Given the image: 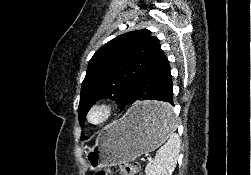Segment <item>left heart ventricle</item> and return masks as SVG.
<instances>
[{"label": "left heart ventricle", "instance_id": "left-heart-ventricle-1", "mask_svg": "<svg viewBox=\"0 0 251 175\" xmlns=\"http://www.w3.org/2000/svg\"><path fill=\"white\" fill-rule=\"evenodd\" d=\"M106 112L104 109L102 108H96L93 112H92V120L94 122H100L105 118Z\"/></svg>", "mask_w": 251, "mask_h": 175}]
</instances>
